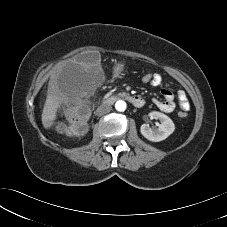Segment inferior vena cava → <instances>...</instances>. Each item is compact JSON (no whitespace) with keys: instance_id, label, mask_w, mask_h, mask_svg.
Here are the masks:
<instances>
[{"instance_id":"602c4592","label":"inferior vena cava","mask_w":227,"mask_h":227,"mask_svg":"<svg viewBox=\"0 0 227 227\" xmlns=\"http://www.w3.org/2000/svg\"><path fill=\"white\" fill-rule=\"evenodd\" d=\"M111 110H112V107H111L110 104L103 103L97 108L96 114L98 116H102V115H104L106 113H109Z\"/></svg>"}]
</instances>
